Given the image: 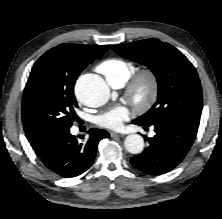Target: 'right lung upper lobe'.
<instances>
[{
  "instance_id": "obj_1",
  "label": "right lung upper lobe",
  "mask_w": 222,
  "mask_h": 219,
  "mask_svg": "<svg viewBox=\"0 0 222 219\" xmlns=\"http://www.w3.org/2000/svg\"><path fill=\"white\" fill-rule=\"evenodd\" d=\"M54 48L64 49L71 55V65L65 69L66 75L72 77V83L74 85L78 75L81 73L84 60L91 56H102L108 49V46H89L81 44H61ZM71 69L74 71L71 72ZM81 69V71H77ZM26 137L30 142L33 149L39 154H43L47 151L53 140L56 138L57 133L47 132L33 127H24Z\"/></svg>"
}]
</instances>
